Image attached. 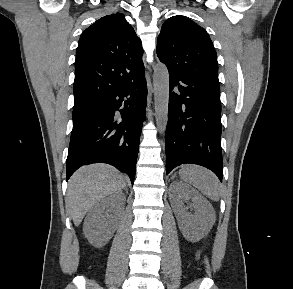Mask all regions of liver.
Masks as SVG:
<instances>
[{
  "instance_id": "1",
  "label": "liver",
  "mask_w": 293,
  "mask_h": 289,
  "mask_svg": "<svg viewBox=\"0 0 293 289\" xmlns=\"http://www.w3.org/2000/svg\"><path fill=\"white\" fill-rule=\"evenodd\" d=\"M125 178L107 164L81 167L70 178L66 195L68 208L75 226H79L86 212L104 197L121 191Z\"/></svg>"
}]
</instances>
